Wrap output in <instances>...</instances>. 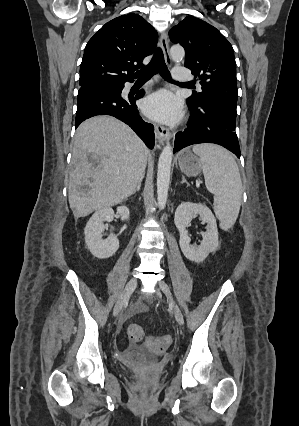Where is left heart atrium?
Returning <instances> with one entry per match:
<instances>
[{
	"label": "left heart atrium",
	"instance_id": "1",
	"mask_svg": "<svg viewBox=\"0 0 299 426\" xmlns=\"http://www.w3.org/2000/svg\"><path fill=\"white\" fill-rule=\"evenodd\" d=\"M143 110L150 118L172 124L182 116L180 100L167 90H160L149 97L143 103Z\"/></svg>",
	"mask_w": 299,
	"mask_h": 426
}]
</instances>
